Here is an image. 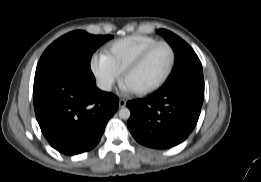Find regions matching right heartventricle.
Returning a JSON list of instances; mask_svg holds the SVG:
<instances>
[{"label":"right heart ventricle","mask_w":261,"mask_h":182,"mask_svg":"<svg viewBox=\"0 0 261 182\" xmlns=\"http://www.w3.org/2000/svg\"><path fill=\"white\" fill-rule=\"evenodd\" d=\"M159 41L149 36H129L108 45L106 55L112 65L122 73L144 50Z\"/></svg>","instance_id":"e07e8e85"}]
</instances>
